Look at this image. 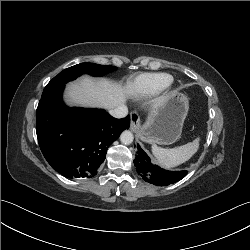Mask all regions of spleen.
<instances>
[{
  "mask_svg": "<svg viewBox=\"0 0 250 250\" xmlns=\"http://www.w3.org/2000/svg\"><path fill=\"white\" fill-rule=\"evenodd\" d=\"M199 141L197 137L193 142L171 149L153 146L152 152L161 167L171 169L188 161L197 152Z\"/></svg>",
  "mask_w": 250,
  "mask_h": 250,
  "instance_id": "3e777b00",
  "label": "spleen"
}]
</instances>
